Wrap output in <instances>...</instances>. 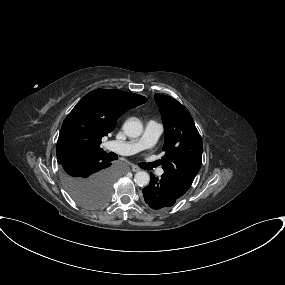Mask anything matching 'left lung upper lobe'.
Wrapping results in <instances>:
<instances>
[{
  "label": "left lung upper lobe",
  "instance_id": "5c2ea615",
  "mask_svg": "<svg viewBox=\"0 0 285 285\" xmlns=\"http://www.w3.org/2000/svg\"><path fill=\"white\" fill-rule=\"evenodd\" d=\"M164 124L165 157L161 164L164 173L189 189L200 170L202 139L189 111L176 99L155 94Z\"/></svg>",
  "mask_w": 285,
  "mask_h": 285
}]
</instances>
